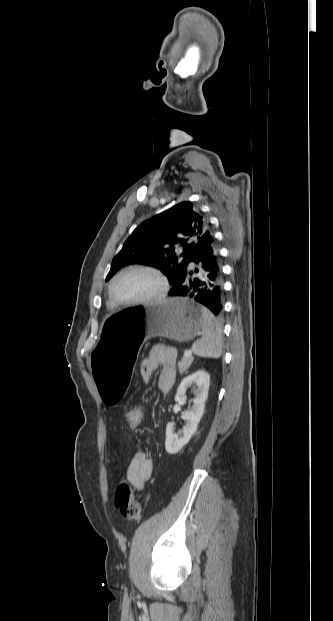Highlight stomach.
Wrapping results in <instances>:
<instances>
[{
	"label": "stomach",
	"mask_w": 333,
	"mask_h": 621,
	"mask_svg": "<svg viewBox=\"0 0 333 621\" xmlns=\"http://www.w3.org/2000/svg\"><path fill=\"white\" fill-rule=\"evenodd\" d=\"M201 323L202 306L188 298H168L107 315L92 352V378L103 397L102 409L115 412L131 389L142 340L160 336L188 342L200 332Z\"/></svg>",
	"instance_id": "1"
}]
</instances>
